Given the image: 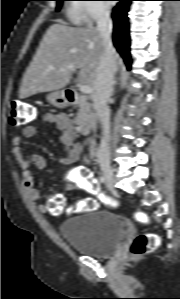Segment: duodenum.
I'll list each match as a JSON object with an SVG mask.
<instances>
[{"label":"duodenum","instance_id":"obj_1","mask_svg":"<svg viewBox=\"0 0 180 299\" xmlns=\"http://www.w3.org/2000/svg\"><path fill=\"white\" fill-rule=\"evenodd\" d=\"M65 98L69 105H86L87 99L74 89H68L65 91ZM79 128L82 134L88 135L93 130V125L89 122L81 121Z\"/></svg>","mask_w":180,"mask_h":299}]
</instances>
